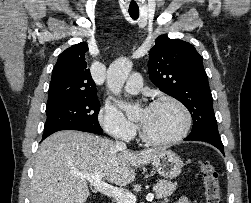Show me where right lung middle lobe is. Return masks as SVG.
Instances as JSON below:
<instances>
[{
	"instance_id": "obj_1",
	"label": "right lung middle lobe",
	"mask_w": 251,
	"mask_h": 203,
	"mask_svg": "<svg viewBox=\"0 0 251 203\" xmlns=\"http://www.w3.org/2000/svg\"><path fill=\"white\" fill-rule=\"evenodd\" d=\"M100 102L96 98H86L46 107L47 120L45 132L77 126L87 129L95 134H102L98 122Z\"/></svg>"
}]
</instances>
